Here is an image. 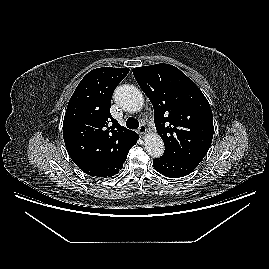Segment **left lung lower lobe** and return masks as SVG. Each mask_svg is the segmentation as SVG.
<instances>
[{"mask_svg": "<svg viewBox=\"0 0 269 269\" xmlns=\"http://www.w3.org/2000/svg\"><path fill=\"white\" fill-rule=\"evenodd\" d=\"M198 164L199 162L196 161L177 160L166 156L153 159L156 171L169 178L184 177L190 174Z\"/></svg>", "mask_w": 269, "mask_h": 269, "instance_id": "0a47b994", "label": "left lung lower lobe"}]
</instances>
